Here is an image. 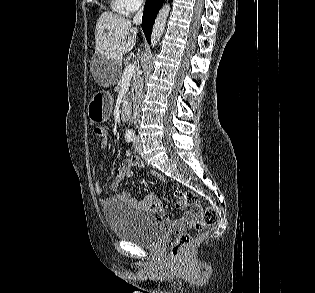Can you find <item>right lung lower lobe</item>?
<instances>
[{
  "label": "right lung lower lobe",
  "mask_w": 315,
  "mask_h": 293,
  "mask_svg": "<svg viewBox=\"0 0 315 293\" xmlns=\"http://www.w3.org/2000/svg\"><path fill=\"white\" fill-rule=\"evenodd\" d=\"M164 0H147L142 18V29L147 41L150 43V35L154 20Z\"/></svg>",
  "instance_id": "obj_1"
}]
</instances>
